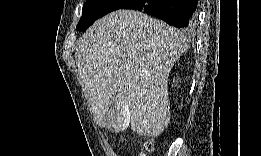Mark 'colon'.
Here are the masks:
<instances>
[{
  "label": "colon",
  "instance_id": "1",
  "mask_svg": "<svg viewBox=\"0 0 261 156\" xmlns=\"http://www.w3.org/2000/svg\"><path fill=\"white\" fill-rule=\"evenodd\" d=\"M145 150H146V152H148V153L152 152V150H153V144H152V142H146V144H145Z\"/></svg>",
  "mask_w": 261,
  "mask_h": 156
}]
</instances>
